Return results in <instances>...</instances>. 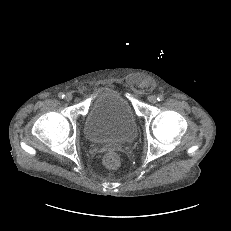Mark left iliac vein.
Segmentation results:
<instances>
[{"label": "left iliac vein", "instance_id": "left-iliac-vein-1", "mask_svg": "<svg viewBox=\"0 0 231 231\" xmlns=\"http://www.w3.org/2000/svg\"><path fill=\"white\" fill-rule=\"evenodd\" d=\"M148 100H149V102L152 103V104H154V103L157 102V98H156V96H154V95L149 96Z\"/></svg>", "mask_w": 231, "mask_h": 231}]
</instances>
